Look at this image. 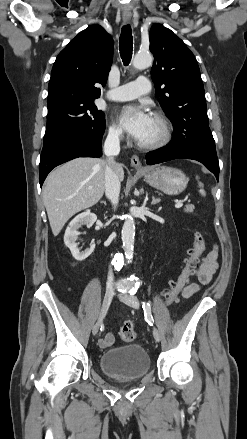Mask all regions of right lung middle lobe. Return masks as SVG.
I'll list each match as a JSON object with an SVG mask.
<instances>
[{"instance_id": "obj_1", "label": "right lung middle lobe", "mask_w": 247, "mask_h": 439, "mask_svg": "<svg viewBox=\"0 0 247 439\" xmlns=\"http://www.w3.org/2000/svg\"><path fill=\"white\" fill-rule=\"evenodd\" d=\"M105 129V115L93 100H67L48 108L43 144L78 134H92Z\"/></svg>"}]
</instances>
